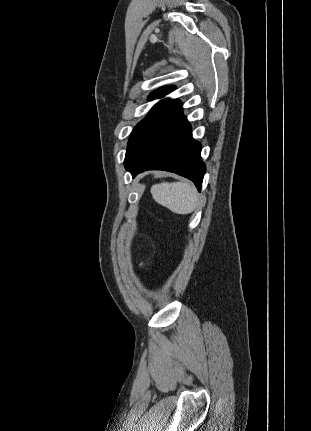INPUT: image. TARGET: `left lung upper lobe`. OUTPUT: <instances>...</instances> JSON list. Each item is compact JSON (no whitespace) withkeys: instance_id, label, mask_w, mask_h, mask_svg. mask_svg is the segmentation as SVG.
Here are the masks:
<instances>
[{"instance_id":"5c2ea615","label":"left lung upper lobe","mask_w":311,"mask_h":431,"mask_svg":"<svg viewBox=\"0 0 311 431\" xmlns=\"http://www.w3.org/2000/svg\"><path fill=\"white\" fill-rule=\"evenodd\" d=\"M175 89L174 86H165L162 88H159L157 90H155L154 92H152L149 96V100H153V99H157V98H161L164 95L170 93L171 91H173ZM169 101V99H164L162 101H160L159 103H157L151 110V113L144 118L141 122H139L133 132L130 135L129 141H128V147L133 143V141L135 140V138L137 137V135L139 134V132L142 130V128L146 125V123ZM127 147V148H128Z\"/></svg>"}]
</instances>
